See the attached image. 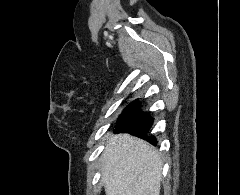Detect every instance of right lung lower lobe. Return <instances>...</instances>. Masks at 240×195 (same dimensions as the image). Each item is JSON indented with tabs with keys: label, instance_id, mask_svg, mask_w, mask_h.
Listing matches in <instances>:
<instances>
[{
	"label": "right lung lower lobe",
	"instance_id": "98d812e1",
	"mask_svg": "<svg viewBox=\"0 0 240 195\" xmlns=\"http://www.w3.org/2000/svg\"><path fill=\"white\" fill-rule=\"evenodd\" d=\"M120 123L116 126L115 132H127L156 144L157 141L154 136L147 137V133L153 124V118L149 114H145V112L138 109Z\"/></svg>",
	"mask_w": 240,
	"mask_h": 195
}]
</instances>
